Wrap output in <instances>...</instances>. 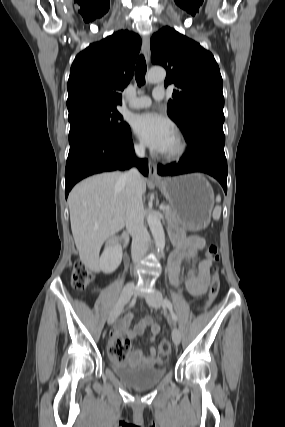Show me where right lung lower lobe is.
<instances>
[{
    "label": "right lung lower lobe",
    "mask_w": 285,
    "mask_h": 427,
    "mask_svg": "<svg viewBox=\"0 0 285 427\" xmlns=\"http://www.w3.org/2000/svg\"><path fill=\"white\" fill-rule=\"evenodd\" d=\"M137 165L148 175V161L137 160L134 154L131 131L115 138L100 131H88L70 142L65 169V196L81 179L105 171L128 169Z\"/></svg>",
    "instance_id": "right-lung-lower-lobe-1"
}]
</instances>
